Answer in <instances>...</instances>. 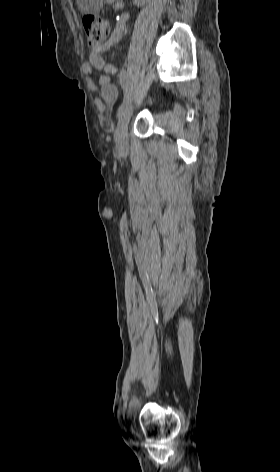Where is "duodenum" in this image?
Segmentation results:
<instances>
[{
	"instance_id": "410a0bca",
	"label": "duodenum",
	"mask_w": 280,
	"mask_h": 472,
	"mask_svg": "<svg viewBox=\"0 0 280 472\" xmlns=\"http://www.w3.org/2000/svg\"><path fill=\"white\" fill-rule=\"evenodd\" d=\"M122 7V2H117L116 3V8H121Z\"/></svg>"
}]
</instances>
